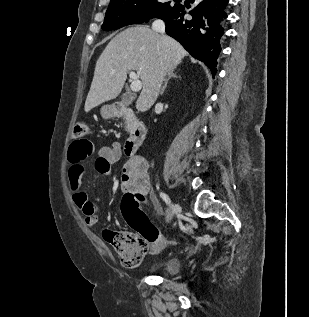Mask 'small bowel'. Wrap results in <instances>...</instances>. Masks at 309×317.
I'll return each instance as SVG.
<instances>
[{"mask_svg": "<svg viewBox=\"0 0 309 317\" xmlns=\"http://www.w3.org/2000/svg\"><path fill=\"white\" fill-rule=\"evenodd\" d=\"M90 142V141H89ZM88 142H82L78 145L75 152L80 154L76 160H69L67 172L69 188L72 192V198L75 205L82 211L85 217V223L89 227H95L98 223V207L95 202L91 201L85 190L82 189V179L85 169V160L91 152L87 151ZM122 157V148L120 143L114 142L111 145H104L98 149V156L95 160V170L108 176L111 165L116 163ZM148 162L141 156L131 157L122 167L119 180L120 188L123 192L133 194H148L150 190V179L148 173ZM155 205L159 208L156 201ZM160 247H154L158 251Z\"/></svg>", "mask_w": 309, "mask_h": 317, "instance_id": "1", "label": "small bowel"}]
</instances>
